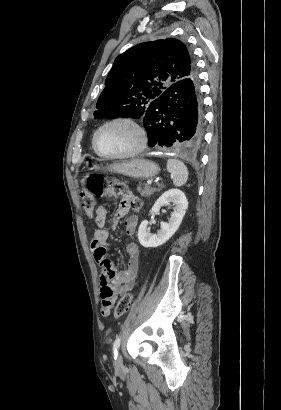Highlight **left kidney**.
I'll use <instances>...</instances> for the list:
<instances>
[{
    "instance_id": "obj_1",
    "label": "left kidney",
    "mask_w": 281,
    "mask_h": 410,
    "mask_svg": "<svg viewBox=\"0 0 281 410\" xmlns=\"http://www.w3.org/2000/svg\"><path fill=\"white\" fill-rule=\"evenodd\" d=\"M170 203L174 205V209L171 213L169 222H161V229L157 234H150L148 232V220L141 222L138 229V239L143 247H158L168 241L178 230L188 208V201L184 192L181 190L170 189L164 192L154 203L152 209L150 210V214L159 212L162 206Z\"/></svg>"
}]
</instances>
